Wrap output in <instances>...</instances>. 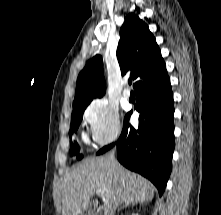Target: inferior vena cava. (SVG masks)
I'll return each instance as SVG.
<instances>
[{
    "instance_id": "602c4592",
    "label": "inferior vena cava",
    "mask_w": 221,
    "mask_h": 215,
    "mask_svg": "<svg viewBox=\"0 0 221 215\" xmlns=\"http://www.w3.org/2000/svg\"><path fill=\"white\" fill-rule=\"evenodd\" d=\"M109 158L112 162H115L114 151L110 153ZM117 206H118V203H115V205L108 211L110 215H114V211L117 208Z\"/></svg>"
}]
</instances>
